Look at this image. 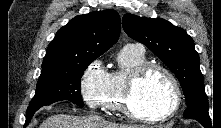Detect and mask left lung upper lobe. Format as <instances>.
I'll return each instance as SVG.
<instances>
[{"label":"left lung upper lobe","instance_id":"left-lung-upper-lobe-1","mask_svg":"<svg viewBox=\"0 0 221 128\" xmlns=\"http://www.w3.org/2000/svg\"><path fill=\"white\" fill-rule=\"evenodd\" d=\"M122 23L129 37L146 45L178 78L188 107L184 117L210 120L199 56L186 31L162 18L130 13L123 16Z\"/></svg>","mask_w":221,"mask_h":128}]
</instances>
